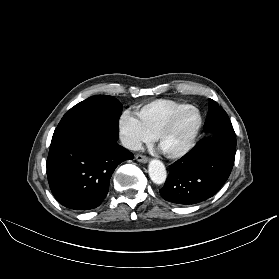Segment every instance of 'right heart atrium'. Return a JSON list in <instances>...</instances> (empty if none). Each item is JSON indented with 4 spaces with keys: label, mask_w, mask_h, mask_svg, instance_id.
I'll return each mask as SVG.
<instances>
[{
    "label": "right heart atrium",
    "mask_w": 279,
    "mask_h": 279,
    "mask_svg": "<svg viewBox=\"0 0 279 279\" xmlns=\"http://www.w3.org/2000/svg\"><path fill=\"white\" fill-rule=\"evenodd\" d=\"M118 132L124 146L131 150H137L152 140V136L143 127L136 114L129 110L123 111L120 115Z\"/></svg>",
    "instance_id": "obj_1"
}]
</instances>
